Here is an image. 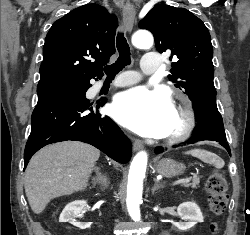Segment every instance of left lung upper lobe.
<instances>
[{
  "label": "left lung upper lobe",
  "mask_w": 250,
  "mask_h": 235,
  "mask_svg": "<svg viewBox=\"0 0 250 235\" xmlns=\"http://www.w3.org/2000/svg\"><path fill=\"white\" fill-rule=\"evenodd\" d=\"M151 31L158 52L171 53L169 80L193 101L216 95L211 37L204 23L184 8L156 5L140 21Z\"/></svg>",
  "instance_id": "5c2ea615"
}]
</instances>
